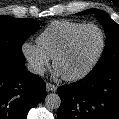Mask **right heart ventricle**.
I'll return each instance as SVG.
<instances>
[{"instance_id":"e07e8e85","label":"right heart ventricle","mask_w":119,"mask_h":119,"mask_svg":"<svg viewBox=\"0 0 119 119\" xmlns=\"http://www.w3.org/2000/svg\"><path fill=\"white\" fill-rule=\"evenodd\" d=\"M83 25L69 20L53 21L40 33L37 43L50 58H54L69 36Z\"/></svg>"}]
</instances>
